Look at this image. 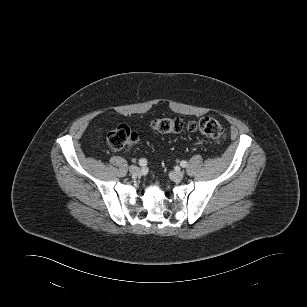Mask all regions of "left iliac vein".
Wrapping results in <instances>:
<instances>
[{
  "mask_svg": "<svg viewBox=\"0 0 307 307\" xmlns=\"http://www.w3.org/2000/svg\"><path fill=\"white\" fill-rule=\"evenodd\" d=\"M170 177L173 181H181L184 178V173L180 170H175L170 173Z\"/></svg>",
  "mask_w": 307,
  "mask_h": 307,
  "instance_id": "left-iliac-vein-1",
  "label": "left iliac vein"
}]
</instances>
